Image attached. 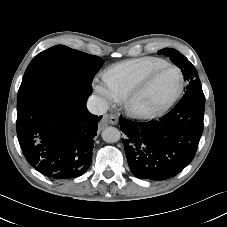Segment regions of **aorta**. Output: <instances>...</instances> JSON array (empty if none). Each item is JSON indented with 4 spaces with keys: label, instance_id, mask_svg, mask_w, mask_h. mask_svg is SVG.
<instances>
[{
    "label": "aorta",
    "instance_id": "1",
    "mask_svg": "<svg viewBox=\"0 0 227 227\" xmlns=\"http://www.w3.org/2000/svg\"><path fill=\"white\" fill-rule=\"evenodd\" d=\"M121 132L115 127H107L102 131V139L107 143H116L120 140Z\"/></svg>",
    "mask_w": 227,
    "mask_h": 227
}]
</instances>
